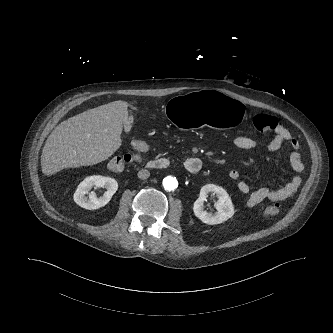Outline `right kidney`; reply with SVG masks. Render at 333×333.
<instances>
[{
	"label": "right kidney",
	"mask_w": 333,
	"mask_h": 333,
	"mask_svg": "<svg viewBox=\"0 0 333 333\" xmlns=\"http://www.w3.org/2000/svg\"><path fill=\"white\" fill-rule=\"evenodd\" d=\"M93 187L106 188L107 191L102 197H97L94 192H90ZM118 189V183L115 179L101 175L86 177L77 187L74 193V201L79 206L94 210L105 206ZM89 194V198L85 195Z\"/></svg>",
	"instance_id": "1"
}]
</instances>
